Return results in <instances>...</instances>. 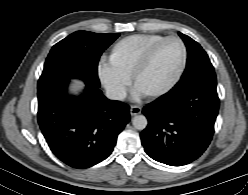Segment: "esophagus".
I'll return each mask as SVG.
<instances>
[{
	"label": "esophagus",
	"mask_w": 248,
	"mask_h": 195,
	"mask_svg": "<svg viewBox=\"0 0 248 195\" xmlns=\"http://www.w3.org/2000/svg\"><path fill=\"white\" fill-rule=\"evenodd\" d=\"M141 111H142L141 107H139V106H137V105H132V106L130 107V114H131L132 116L137 115V114H140Z\"/></svg>",
	"instance_id": "obj_1"
}]
</instances>
